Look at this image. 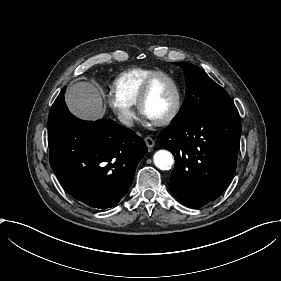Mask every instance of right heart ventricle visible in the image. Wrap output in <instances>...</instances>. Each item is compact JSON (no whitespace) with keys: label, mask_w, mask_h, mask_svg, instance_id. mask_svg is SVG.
<instances>
[{"label":"right heart ventricle","mask_w":281,"mask_h":281,"mask_svg":"<svg viewBox=\"0 0 281 281\" xmlns=\"http://www.w3.org/2000/svg\"><path fill=\"white\" fill-rule=\"evenodd\" d=\"M163 73L166 71L157 68H135L125 71L114 80L115 93L127 104L135 105L148 79Z\"/></svg>","instance_id":"e07e8e85"}]
</instances>
